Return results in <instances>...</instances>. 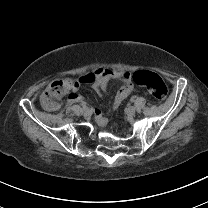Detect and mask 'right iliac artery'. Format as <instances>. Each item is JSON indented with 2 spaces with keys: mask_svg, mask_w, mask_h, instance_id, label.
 Returning a JSON list of instances; mask_svg holds the SVG:
<instances>
[{
  "mask_svg": "<svg viewBox=\"0 0 208 208\" xmlns=\"http://www.w3.org/2000/svg\"><path fill=\"white\" fill-rule=\"evenodd\" d=\"M81 106H82L83 109H84V108H87V104H86L85 102H83V103L81 104Z\"/></svg>",
  "mask_w": 208,
  "mask_h": 208,
  "instance_id": "right-iliac-artery-1",
  "label": "right iliac artery"
}]
</instances>
